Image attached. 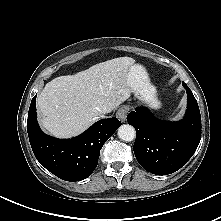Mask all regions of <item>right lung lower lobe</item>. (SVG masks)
Returning <instances> with one entry per match:
<instances>
[{
    "instance_id": "right-lung-lower-lobe-1",
    "label": "right lung lower lobe",
    "mask_w": 221,
    "mask_h": 221,
    "mask_svg": "<svg viewBox=\"0 0 221 221\" xmlns=\"http://www.w3.org/2000/svg\"><path fill=\"white\" fill-rule=\"evenodd\" d=\"M120 125L121 122L113 117L96 122L72 139L48 136L37 123L34 96L28 112L27 132L33 153L41 165L55 176L74 182L92 174L102 146Z\"/></svg>"
}]
</instances>
